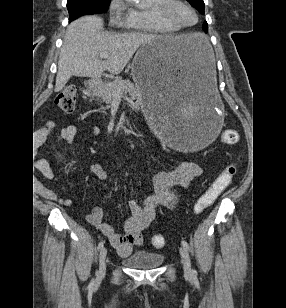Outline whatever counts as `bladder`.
<instances>
[{"label":"bladder","instance_id":"1","mask_svg":"<svg viewBox=\"0 0 286 308\" xmlns=\"http://www.w3.org/2000/svg\"><path fill=\"white\" fill-rule=\"evenodd\" d=\"M164 262V256L161 253L150 252L144 249L134 251L123 258V263L136 270L155 269Z\"/></svg>","mask_w":286,"mask_h":308}]
</instances>
